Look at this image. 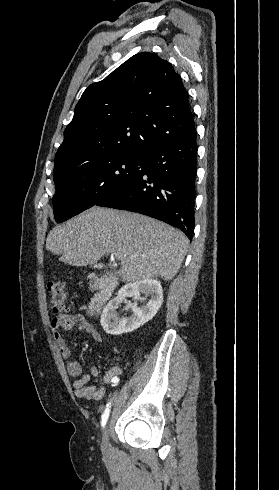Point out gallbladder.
Masks as SVG:
<instances>
[{"instance_id":"bac80fb5","label":"gallbladder","mask_w":279,"mask_h":490,"mask_svg":"<svg viewBox=\"0 0 279 490\" xmlns=\"http://www.w3.org/2000/svg\"><path fill=\"white\" fill-rule=\"evenodd\" d=\"M106 276H110V272H106Z\"/></svg>"}]
</instances>
